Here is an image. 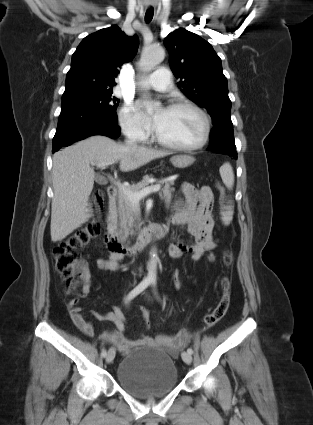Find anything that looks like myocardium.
Returning a JSON list of instances; mask_svg holds the SVG:
<instances>
[{"mask_svg":"<svg viewBox=\"0 0 313 425\" xmlns=\"http://www.w3.org/2000/svg\"><path fill=\"white\" fill-rule=\"evenodd\" d=\"M168 109H189L197 113L200 116L203 123V133H202L201 139L194 145L184 146V145H177V144L167 142L161 139L157 133H154V136H153L154 141L160 146H163L165 148L175 150V151H181V152H194L203 148L207 144L211 134V122L207 113L200 106L189 101H179V102L172 103L168 107Z\"/></svg>","mask_w":313,"mask_h":425,"instance_id":"myocardium-1","label":"myocardium"}]
</instances>
